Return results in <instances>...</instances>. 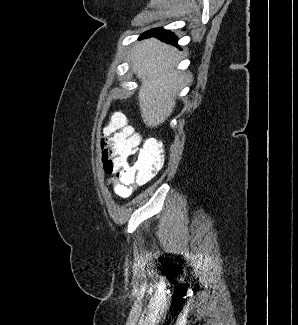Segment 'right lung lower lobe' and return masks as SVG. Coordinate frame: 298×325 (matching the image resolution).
<instances>
[{"label":"right lung lower lobe","mask_w":298,"mask_h":325,"mask_svg":"<svg viewBox=\"0 0 298 325\" xmlns=\"http://www.w3.org/2000/svg\"><path fill=\"white\" fill-rule=\"evenodd\" d=\"M157 37L162 41L170 44H177V38L167 30L160 28L152 29L144 34V37Z\"/></svg>","instance_id":"1"}]
</instances>
